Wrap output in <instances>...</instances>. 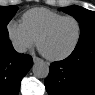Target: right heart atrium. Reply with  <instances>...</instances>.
Here are the masks:
<instances>
[{
	"label": "right heart atrium",
	"mask_w": 95,
	"mask_h": 95,
	"mask_svg": "<svg viewBox=\"0 0 95 95\" xmlns=\"http://www.w3.org/2000/svg\"><path fill=\"white\" fill-rule=\"evenodd\" d=\"M7 34L15 49L19 52L27 51L36 43L22 23L14 20L7 24Z\"/></svg>",
	"instance_id": "d8ad5b80"
}]
</instances>
